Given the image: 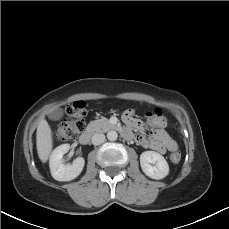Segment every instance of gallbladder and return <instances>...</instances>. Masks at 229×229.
<instances>
[{
    "mask_svg": "<svg viewBox=\"0 0 229 229\" xmlns=\"http://www.w3.org/2000/svg\"><path fill=\"white\" fill-rule=\"evenodd\" d=\"M63 116V110L61 108L55 109L49 115V117L53 120H58Z\"/></svg>",
    "mask_w": 229,
    "mask_h": 229,
    "instance_id": "gallbladder-1",
    "label": "gallbladder"
}]
</instances>
